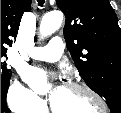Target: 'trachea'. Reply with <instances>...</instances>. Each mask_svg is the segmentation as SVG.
<instances>
[{
	"label": "trachea",
	"instance_id": "trachea-1",
	"mask_svg": "<svg viewBox=\"0 0 121 113\" xmlns=\"http://www.w3.org/2000/svg\"><path fill=\"white\" fill-rule=\"evenodd\" d=\"M43 3H44V0H38V4H39L40 6H42Z\"/></svg>",
	"mask_w": 121,
	"mask_h": 113
}]
</instances>
